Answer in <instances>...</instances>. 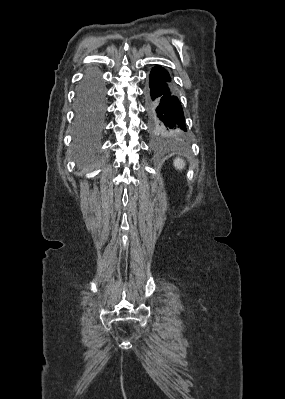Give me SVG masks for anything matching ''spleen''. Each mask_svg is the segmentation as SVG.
<instances>
[{"label": "spleen", "mask_w": 285, "mask_h": 399, "mask_svg": "<svg viewBox=\"0 0 285 399\" xmlns=\"http://www.w3.org/2000/svg\"><path fill=\"white\" fill-rule=\"evenodd\" d=\"M174 166L176 167V169L182 170L185 167V162L183 159L181 158H176L173 161Z\"/></svg>", "instance_id": "obj_1"}]
</instances>
